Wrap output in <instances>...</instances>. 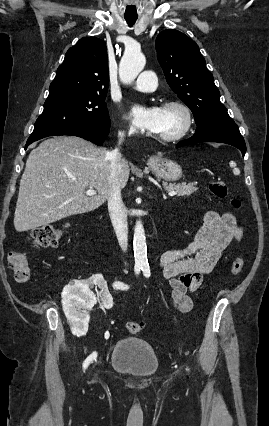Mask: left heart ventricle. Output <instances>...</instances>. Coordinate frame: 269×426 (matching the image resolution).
I'll use <instances>...</instances> for the list:
<instances>
[{"instance_id": "obj_1", "label": "left heart ventricle", "mask_w": 269, "mask_h": 426, "mask_svg": "<svg viewBox=\"0 0 269 426\" xmlns=\"http://www.w3.org/2000/svg\"><path fill=\"white\" fill-rule=\"evenodd\" d=\"M183 114L175 108H163L160 123L155 135H170L177 132L183 125Z\"/></svg>"}]
</instances>
